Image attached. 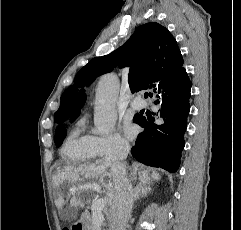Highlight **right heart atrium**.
<instances>
[{
	"label": "right heart atrium",
	"mask_w": 241,
	"mask_h": 230,
	"mask_svg": "<svg viewBox=\"0 0 241 230\" xmlns=\"http://www.w3.org/2000/svg\"><path fill=\"white\" fill-rule=\"evenodd\" d=\"M94 146L98 156L121 157L129 149L128 141L119 133L94 136Z\"/></svg>",
	"instance_id": "obj_1"
}]
</instances>
